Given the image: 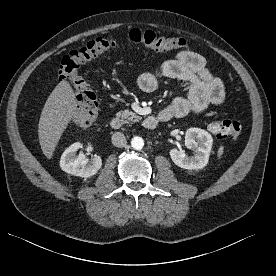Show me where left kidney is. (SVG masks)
Listing matches in <instances>:
<instances>
[{
	"label": "left kidney",
	"instance_id": "left-kidney-1",
	"mask_svg": "<svg viewBox=\"0 0 276 276\" xmlns=\"http://www.w3.org/2000/svg\"><path fill=\"white\" fill-rule=\"evenodd\" d=\"M213 144L211 134L200 128H189L185 133V145L193 150V156H187L183 150L171 149L170 157L175 165L189 170L205 167L209 160Z\"/></svg>",
	"mask_w": 276,
	"mask_h": 276
}]
</instances>
